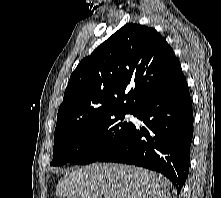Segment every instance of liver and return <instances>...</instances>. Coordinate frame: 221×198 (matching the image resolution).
Wrapping results in <instances>:
<instances>
[{
  "label": "liver",
  "mask_w": 221,
  "mask_h": 198,
  "mask_svg": "<svg viewBox=\"0 0 221 198\" xmlns=\"http://www.w3.org/2000/svg\"><path fill=\"white\" fill-rule=\"evenodd\" d=\"M171 198L169 181L141 167L92 164L67 171L56 186L59 198Z\"/></svg>",
  "instance_id": "liver-1"
}]
</instances>
